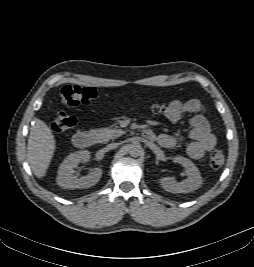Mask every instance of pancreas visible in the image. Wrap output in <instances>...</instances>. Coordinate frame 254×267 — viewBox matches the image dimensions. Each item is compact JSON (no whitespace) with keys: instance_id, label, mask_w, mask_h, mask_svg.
<instances>
[{"instance_id":"cf45deb5","label":"pancreas","mask_w":254,"mask_h":267,"mask_svg":"<svg viewBox=\"0 0 254 267\" xmlns=\"http://www.w3.org/2000/svg\"><path fill=\"white\" fill-rule=\"evenodd\" d=\"M99 142H108L110 139H115L123 132L119 129L99 128L92 130Z\"/></svg>"}]
</instances>
